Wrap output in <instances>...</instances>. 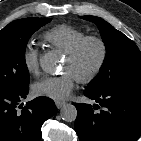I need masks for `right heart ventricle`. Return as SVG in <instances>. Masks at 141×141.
Wrapping results in <instances>:
<instances>
[{"instance_id": "1", "label": "right heart ventricle", "mask_w": 141, "mask_h": 141, "mask_svg": "<svg viewBox=\"0 0 141 141\" xmlns=\"http://www.w3.org/2000/svg\"><path fill=\"white\" fill-rule=\"evenodd\" d=\"M85 36L86 33L83 30L62 24L47 30L43 34V40L51 47L67 53Z\"/></svg>"}]
</instances>
